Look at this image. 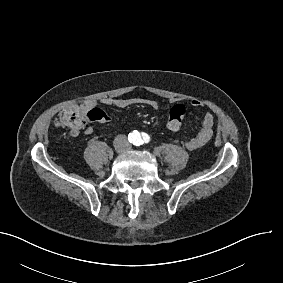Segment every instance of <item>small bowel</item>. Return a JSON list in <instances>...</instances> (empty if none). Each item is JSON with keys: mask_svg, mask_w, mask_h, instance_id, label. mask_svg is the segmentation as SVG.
<instances>
[{"mask_svg": "<svg viewBox=\"0 0 283 283\" xmlns=\"http://www.w3.org/2000/svg\"><path fill=\"white\" fill-rule=\"evenodd\" d=\"M103 105L106 107H115V108H128L132 106H145L150 109H158L159 102L155 99L150 98H142V97H130V98H113V97H104L100 100L96 99H88L83 102L81 108L86 112L85 118L88 121H99L106 122L109 120V117L100 109H97V105ZM178 105V104H177ZM175 105L171 112L170 116L174 111ZM191 105L196 109H205L204 105L199 100H192ZM169 122V121H168ZM167 122V127L169 129V123ZM182 122V121H181ZM181 127V123L179 128ZM178 128V130H179ZM94 132V128L92 126H88L85 129L86 134H92ZM214 134V117L212 113L208 110L205 111V114L200 123V129L198 133L187 139L185 141V146L187 149L191 151L198 150L205 146L213 137Z\"/></svg>", "mask_w": 283, "mask_h": 283, "instance_id": "obj_1", "label": "small bowel"}]
</instances>
